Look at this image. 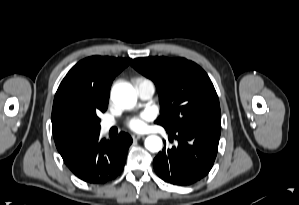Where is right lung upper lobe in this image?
I'll return each mask as SVG.
<instances>
[{"mask_svg":"<svg viewBox=\"0 0 299 205\" xmlns=\"http://www.w3.org/2000/svg\"><path fill=\"white\" fill-rule=\"evenodd\" d=\"M130 61V58L92 56L67 73L55 94L51 118L54 141L61 155L74 145L64 135L65 121L72 116L105 112L112 81Z\"/></svg>","mask_w":299,"mask_h":205,"instance_id":"right-lung-upper-lobe-1","label":"right lung upper lobe"}]
</instances>
